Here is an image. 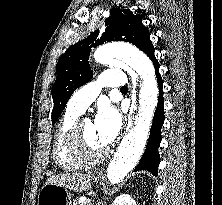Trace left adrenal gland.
<instances>
[{"label":"left adrenal gland","instance_id":"left-adrenal-gland-1","mask_svg":"<svg viewBox=\"0 0 222 205\" xmlns=\"http://www.w3.org/2000/svg\"><path fill=\"white\" fill-rule=\"evenodd\" d=\"M97 205H104L102 202H98Z\"/></svg>","mask_w":222,"mask_h":205}]
</instances>
